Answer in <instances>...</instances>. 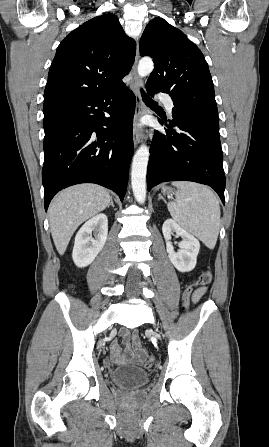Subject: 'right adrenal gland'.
Returning <instances> with one entry per match:
<instances>
[{
  "instance_id": "obj_1",
  "label": "right adrenal gland",
  "mask_w": 269,
  "mask_h": 447,
  "mask_svg": "<svg viewBox=\"0 0 269 447\" xmlns=\"http://www.w3.org/2000/svg\"><path fill=\"white\" fill-rule=\"evenodd\" d=\"M109 206H112V208H114V204H113V200H112V198H110V204H109ZM109 206H108V208H109Z\"/></svg>"
}]
</instances>
